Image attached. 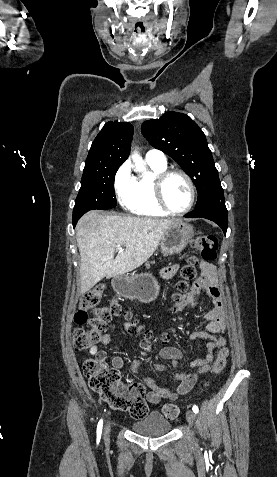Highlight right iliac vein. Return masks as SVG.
<instances>
[{"instance_id": "right-iliac-vein-1", "label": "right iliac vein", "mask_w": 277, "mask_h": 477, "mask_svg": "<svg viewBox=\"0 0 277 477\" xmlns=\"http://www.w3.org/2000/svg\"><path fill=\"white\" fill-rule=\"evenodd\" d=\"M110 434V424L107 423L104 429V438L108 439Z\"/></svg>"}]
</instances>
